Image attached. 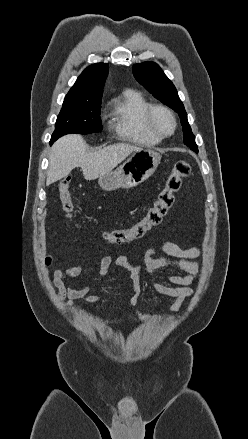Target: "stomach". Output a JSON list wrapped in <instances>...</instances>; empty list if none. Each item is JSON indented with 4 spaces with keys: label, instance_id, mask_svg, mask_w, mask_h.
<instances>
[{
    "label": "stomach",
    "instance_id": "0dacf381",
    "mask_svg": "<svg viewBox=\"0 0 248 439\" xmlns=\"http://www.w3.org/2000/svg\"><path fill=\"white\" fill-rule=\"evenodd\" d=\"M160 160L158 152L141 148L134 151L118 169L99 177V185L105 191L133 188L153 175Z\"/></svg>",
    "mask_w": 248,
    "mask_h": 439
}]
</instances>
